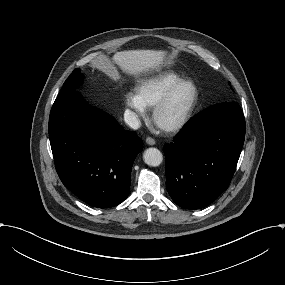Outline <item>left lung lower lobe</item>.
Returning a JSON list of instances; mask_svg holds the SVG:
<instances>
[{
  "instance_id": "obj_1",
  "label": "left lung lower lobe",
  "mask_w": 285,
  "mask_h": 285,
  "mask_svg": "<svg viewBox=\"0 0 285 285\" xmlns=\"http://www.w3.org/2000/svg\"><path fill=\"white\" fill-rule=\"evenodd\" d=\"M244 138V115L236 102L216 104L193 117L164 148L173 201L185 209L212 203L231 182Z\"/></svg>"
}]
</instances>
